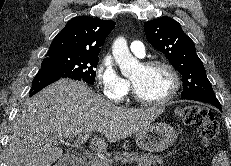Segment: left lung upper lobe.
<instances>
[{"label":"left lung upper lobe","mask_w":231,"mask_h":166,"mask_svg":"<svg viewBox=\"0 0 231 166\" xmlns=\"http://www.w3.org/2000/svg\"><path fill=\"white\" fill-rule=\"evenodd\" d=\"M144 29L149 43L162 52L182 74V99L215 96L204 65L196 54L194 42L177 21L161 17L145 22Z\"/></svg>","instance_id":"obj_1"}]
</instances>
